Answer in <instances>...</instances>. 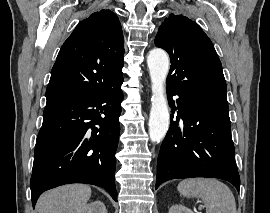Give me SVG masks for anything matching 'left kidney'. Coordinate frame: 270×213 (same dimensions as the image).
Segmentation results:
<instances>
[{"label": "left kidney", "mask_w": 270, "mask_h": 213, "mask_svg": "<svg viewBox=\"0 0 270 213\" xmlns=\"http://www.w3.org/2000/svg\"><path fill=\"white\" fill-rule=\"evenodd\" d=\"M169 213H193V211L184 205L174 204L170 207Z\"/></svg>", "instance_id": "obj_1"}]
</instances>
